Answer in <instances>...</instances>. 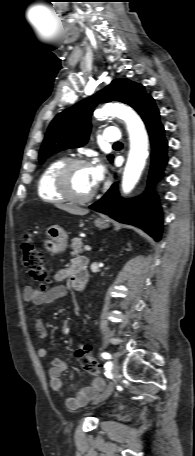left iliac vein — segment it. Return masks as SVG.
Listing matches in <instances>:
<instances>
[{
	"label": "left iliac vein",
	"mask_w": 195,
	"mask_h": 456,
	"mask_svg": "<svg viewBox=\"0 0 195 456\" xmlns=\"http://www.w3.org/2000/svg\"><path fill=\"white\" fill-rule=\"evenodd\" d=\"M113 357L114 359L116 360L117 357H118V353H114L113 354ZM113 375H114V378L117 379L119 377L118 375V370L116 368V366H114L113 368ZM114 386H115V383H111V385L105 390V392L103 394H101L96 400L94 403H98V402H101L103 400H105L113 391L114 389Z\"/></svg>",
	"instance_id": "left-iliac-vein-1"
}]
</instances>
